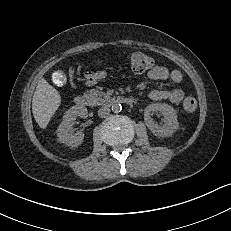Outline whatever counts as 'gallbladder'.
I'll return each instance as SVG.
<instances>
[{"label": "gallbladder", "instance_id": "1", "mask_svg": "<svg viewBox=\"0 0 231 231\" xmlns=\"http://www.w3.org/2000/svg\"><path fill=\"white\" fill-rule=\"evenodd\" d=\"M52 82L56 86H63L67 82V75L63 71H56L52 75Z\"/></svg>", "mask_w": 231, "mask_h": 231}]
</instances>
